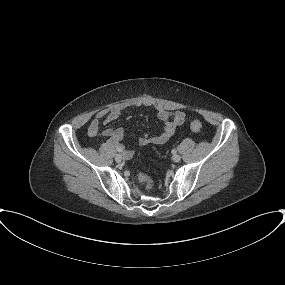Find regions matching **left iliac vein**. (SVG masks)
I'll return each mask as SVG.
<instances>
[{"label":"left iliac vein","instance_id":"obj_1","mask_svg":"<svg viewBox=\"0 0 285 285\" xmlns=\"http://www.w3.org/2000/svg\"><path fill=\"white\" fill-rule=\"evenodd\" d=\"M172 159H173L174 162H179L181 160V156L178 155V154H174Z\"/></svg>","mask_w":285,"mask_h":285}]
</instances>
